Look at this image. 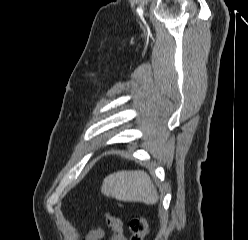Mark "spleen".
I'll return each instance as SVG.
<instances>
[{
  "instance_id": "spleen-1",
  "label": "spleen",
  "mask_w": 248,
  "mask_h": 240,
  "mask_svg": "<svg viewBox=\"0 0 248 240\" xmlns=\"http://www.w3.org/2000/svg\"><path fill=\"white\" fill-rule=\"evenodd\" d=\"M102 193L124 202H143L153 205L158 192L149 175L141 170L118 171L103 180Z\"/></svg>"
}]
</instances>
